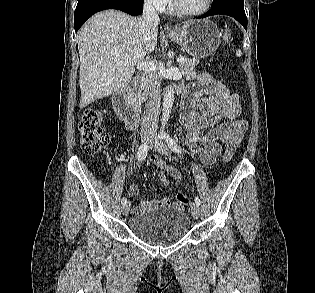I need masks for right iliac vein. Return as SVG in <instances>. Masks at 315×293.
Listing matches in <instances>:
<instances>
[{
    "instance_id": "1",
    "label": "right iliac vein",
    "mask_w": 315,
    "mask_h": 293,
    "mask_svg": "<svg viewBox=\"0 0 315 293\" xmlns=\"http://www.w3.org/2000/svg\"><path fill=\"white\" fill-rule=\"evenodd\" d=\"M142 142H143V143H149V142H151L150 136H144V137L142 138ZM121 210H122L123 215H127V214L129 213V211H130V203H129V202L124 203V204L122 205V207H121Z\"/></svg>"
}]
</instances>
